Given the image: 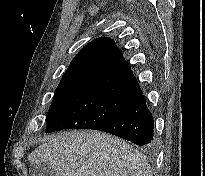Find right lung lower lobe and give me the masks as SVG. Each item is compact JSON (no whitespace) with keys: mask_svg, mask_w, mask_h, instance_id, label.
Masks as SVG:
<instances>
[{"mask_svg":"<svg viewBox=\"0 0 205 176\" xmlns=\"http://www.w3.org/2000/svg\"><path fill=\"white\" fill-rule=\"evenodd\" d=\"M154 120L140 93L130 99L122 111L100 131L114 134L140 146H151Z\"/></svg>","mask_w":205,"mask_h":176,"instance_id":"obj_1","label":"right lung lower lobe"}]
</instances>
